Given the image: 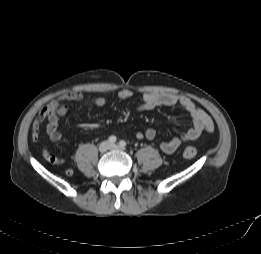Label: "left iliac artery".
Here are the masks:
<instances>
[{
  "mask_svg": "<svg viewBox=\"0 0 261 254\" xmlns=\"http://www.w3.org/2000/svg\"><path fill=\"white\" fill-rule=\"evenodd\" d=\"M119 145L120 147L124 148L126 146V142L122 140L119 142Z\"/></svg>",
  "mask_w": 261,
  "mask_h": 254,
  "instance_id": "obj_1",
  "label": "left iliac artery"
}]
</instances>
